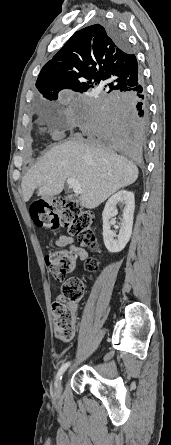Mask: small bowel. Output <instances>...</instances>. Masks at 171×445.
<instances>
[{"label":"small bowel","instance_id":"obj_1","mask_svg":"<svg viewBox=\"0 0 171 445\" xmlns=\"http://www.w3.org/2000/svg\"><path fill=\"white\" fill-rule=\"evenodd\" d=\"M55 245L60 248L69 247L71 252L78 256L81 260L88 258L87 252L73 243V238L67 235L59 236L55 239Z\"/></svg>","mask_w":171,"mask_h":445}]
</instances>
